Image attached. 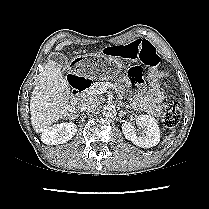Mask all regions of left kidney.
Wrapping results in <instances>:
<instances>
[{
	"instance_id": "1",
	"label": "left kidney",
	"mask_w": 209,
	"mask_h": 209,
	"mask_svg": "<svg viewBox=\"0 0 209 209\" xmlns=\"http://www.w3.org/2000/svg\"><path fill=\"white\" fill-rule=\"evenodd\" d=\"M136 124L144 129L143 136H138L131 122L122 124V131L126 139L136 146L150 148L160 141V129L157 120L149 115H140L136 118Z\"/></svg>"
}]
</instances>
